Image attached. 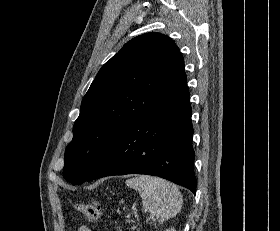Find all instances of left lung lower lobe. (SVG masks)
Segmentation results:
<instances>
[{"label":"left lung lower lobe","instance_id":"obj_1","mask_svg":"<svg viewBox=\"0 0 280 231\" xmlns=\"http://www.w3.org/2000/svg\"><path fill=\"white\" fill-rule=\"evenodd\" d=\"M191 114L184 80L116 139L87 181L146 174L165 178L195 194Z\"/></svg>","mask_w":280,"mask_h":231}]
</instances>
